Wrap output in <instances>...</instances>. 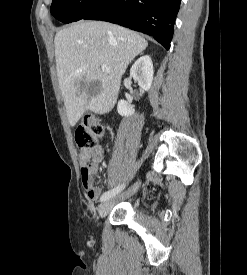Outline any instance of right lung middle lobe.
<instances>
[{
    "mask_svg": "<svg viewBox=\"0 0 247 275\" xmlns=\"http://www.w3.org/2000/svg\"><path fill=\"white\" fill-rule=\"evenodd\" d=\"M104 0H53L51 14L63 23L81 20Z\"/></svg>",
    "mask_w": 247,
    "mask_h": 275,
    "instance_id": "dd1d6c3e",
    "label": "right lung middle lobe"
}]
</instances>
